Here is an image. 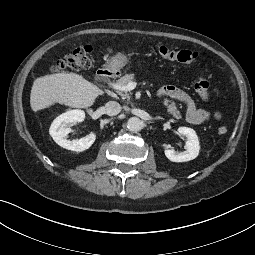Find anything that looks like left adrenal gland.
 <instances>
[{
	"label": "left adrenal gland",
	"mask_w": 255,
	"mask_h": 255,
	"mask_svg": "<svg viewBox=\"0 0 255 255\" xmlns=\"http://www.w3.org/2000/svg\"><path fill=\"white\" fill-rule=\"evenodd\" d=\"M156 119H159V120H164V118H163V117H157Z\"/></svg>",
	"instance_id": "a2214340"
}]
</instances>
